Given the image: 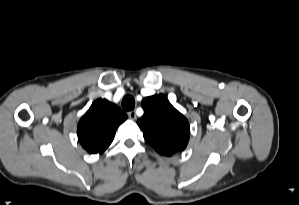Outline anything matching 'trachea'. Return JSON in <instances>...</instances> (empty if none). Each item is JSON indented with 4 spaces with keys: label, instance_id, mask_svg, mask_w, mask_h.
<instances>
[{
    "label": "trachea",
    "instance_id": "3493384b",
    "mask_svg": "<svg viewBox=\"0 0 299 205\" xmlns=\"http://www.w3.org/2000/svg\"><path fill=\"white\" fill-rule=\"evenodd\" d=\"M135 107L134 97L131 95H126L122 100V108L125 111H131Z\"/></svg>",
    "mask_w": 299,
    "mask_h": 205
}]
</instances>
